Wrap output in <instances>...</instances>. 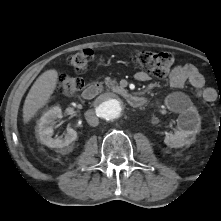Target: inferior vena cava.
Instances as JSON below:
<instances>
[{"label":"inferior vena cava","mask_w":221,"mask_h":221,"mask_svg":"<svg viewBox=\"0 0 221 221\" xmlns=\"http://www.w3.org/2000/svg\"><path fill=\"white\" fill-rule=\"evenodd\" d=\"M86 120L88 122V124H90L91 126H97L99 124V119L95 116L94 112L89 110L86 112Z\"/></svg>","instance_id":"1"}]
</instances>
